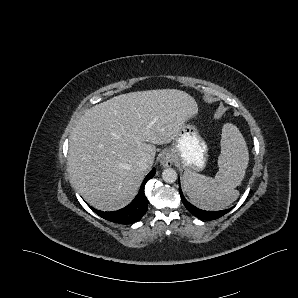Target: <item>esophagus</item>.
<instances>
[{
	"label": "esophagus",
	"mask_w": 298,
	"mask_h": 298,
	"mask_svg": "<svg viewBox=\"0 0 298 298\" xmlns=\"http://www.w3.org/2000/svg\"><path fill=\"white\" fill-rule=\"evenodd\" d=\"M160 162L165 168L171 167L173 165L174 158L170 150H166L162 153Z\"/></svg>",
	"instance_id": "esophagus-1"
}]
</instances>
